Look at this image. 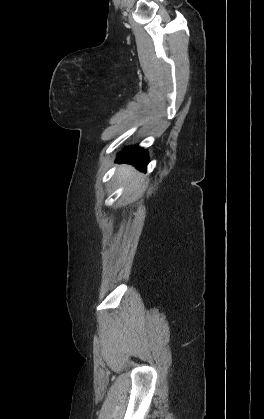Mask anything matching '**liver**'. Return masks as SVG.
I'll return each instance as SVG.
<instances>
[{"mask_svg": "<svg viewBox=\"0 0 264 419\" xmlns=\"http://www.w3.org/2000/svg\"><path fill=\"white\" fill-rule=\"evenodd\" d=\"M118 174L123 178H127L128 176H131L132 174H134V171L132 170V168L130 166L127 165H122L120 166L119 170H118Z\"/></svg>", "mask_w": 264, "mask_h": 419, "instance_id": "obj_1", "label": "liver"}]
</instances>
